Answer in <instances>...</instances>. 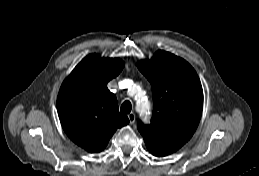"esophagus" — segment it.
Wrapping results in <instances>:
<instances>
[{
  "label": "esophagus",
  "instance_id": "obj_1",
  "mask_svg": "<svg viewBox=\"0 0 259 176\" xmlns=\"http://www.w3.org/2000/svg\"><path fill=\"white\" fill-rule=\"evenodd\" d=\"M128 119L130 121V124H133L135 122V114L133 112L129 113Z\"/></svg>",
  "mask_w": 259,
  "mask_h": 176
}]
</instances>
